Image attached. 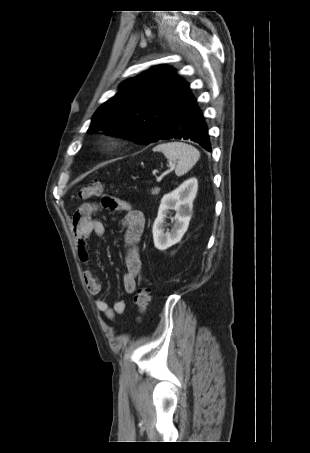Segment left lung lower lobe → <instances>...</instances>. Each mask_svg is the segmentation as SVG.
I'll return each mask as SVG.
<instances>
[{
  "mask_svg": "<svg viewBox=\"0 0 310 453\" xmlns=\"http://www.w3.org/2000/svg\"><path fill=\"white\" fill-rule=\"evenodd\" d=\"M173 138L190 139L211 151L205 118L188 84L160 140Z\"/></svg>",
  "mask_w": 310,
  "mask_h": 453,
  "instance_id": "obj_1",
  "label": "left lung lower lobe"
}]
</instances>
